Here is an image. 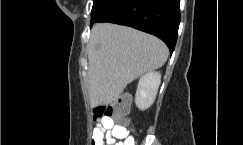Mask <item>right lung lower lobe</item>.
Returning a JSON list of instances; mask_svg holds the SVG:
<instances>
[{"label":"right lung lower lobe","mask_w":243,"mask_h":145,"mask_svg":"<svg viewBox=\"0 0 243 145\" xmlns=\"http://www.w3.org/2000/svg\"><path fill=\"white\" fill-rule=\"evenodd\" d=\"M180 0H94L91 25L111 22L131 26L163 40L174 51L180 23Z\"/></svg>","instance_id":"1"}]
</instances>
